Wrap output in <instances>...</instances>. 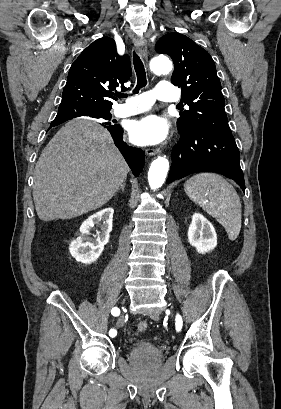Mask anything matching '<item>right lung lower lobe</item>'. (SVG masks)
<instances>
[{"instance_id":"98d812e1","label":"right lung lower lobe","mask_w":281,"mask_h":409,"mask_svg":"<svg viewBox=\"0 0 281 409\" xmlns=\"http://www.w3.org/2000/svg\"><path fill=\"white\" fill-rule=\"evenodd\" d=\"M82 115L98 118L99 112L90 111V110L72 111V110L66 109V110L59 111L56 118L72 119V118L82 116ZM106 128L111 133V136L114 140L115 145L118 147V149L124 156L133 174L135 176H138L139 173L142 171V168L144 165V158H145L144 152L141 149L128 146L123 141V130L119 125H109V126H106Z\"/></svg>"}]
</instances>
